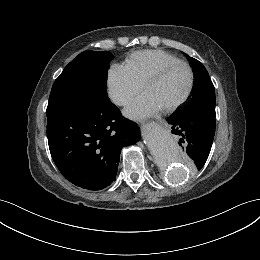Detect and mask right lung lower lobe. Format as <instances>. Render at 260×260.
<instances>
[{
	"mask_svg": "<svg viewBox=\"0 0 260 260\" xmlns=\"http://www.w3.org/2000/svg\"><path fill=\"white\" fill-rule=\"evenodd\" d=\"M52 159L74 185L101 190L115 181L121 149L140 138L138 125L109 98L91 107L70 106L46 112Z\"/></svg>",
	"mask_w": 260,
	"mask_h": 260,
	"instance_id": "right-lung-lower-lobe-1",
	"label": "right lung lower lobe"
}]
</instances>
